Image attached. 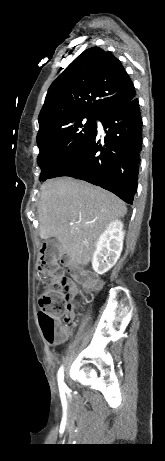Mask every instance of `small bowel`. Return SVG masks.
Segmentation results:
<instances>
[{"instance_id": "c3829d8e", "label": "small bowel", "mask_w": 165, "mask_h": 461, "mask_svg": "<svg viewBox=\"0 0 165 461\" xmlns=\"http://www.w3.org/2000/svg\"><path fill=\"white\" fill-rule=\"evenodd\" d=\"M82 268V265L80 263H70L69 264V269L71 271H79ZM80 279L82 282H87L88 280L94 281L97 284H100V280L95 274H81ZM69 282V291H64L63 293V301L65 302V307L67 309H72L74 307V295L77 293L78 288L77 285L73 282L68 280ZM74 315L73 311L70 313H62L61 316V323L62 324H71L73 321ZM60 331L62 333V338L58 341V344L64 343L68 340L71 330L67 326H62L60 328Z\"/></svg>"}]
</instances>
